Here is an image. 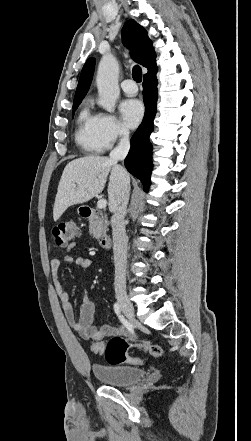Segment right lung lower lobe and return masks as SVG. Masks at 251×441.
Wrapping results in <instances>:
<instances>
[{
    "label": "right lung lower lobe",
    "instance_id": "right-lung-lower-lobe-1",
    "mask_svg": "<svg viewBox=\"0 0 251 441\" xmlns=\"http://www.w3.org/2000/svg\"><path fill=\"white\" fill-rule=\"evenodd\" d=\"M156 73L157 70L144 75L143 100L145 116L130 140L131 148L125 159L127 170L142 182L146 192L149 189L152 171V145L149 141V136L154 128L153 120L156 115L158 97Z\"/></svg>",
    "mask_w": 251,
    "mask_h": 441
}]
</instances>
